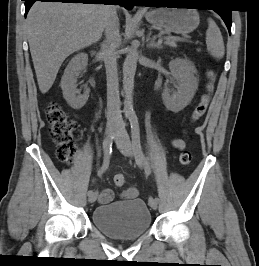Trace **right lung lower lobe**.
<instances>
[{
    "mask_svg": "<svg viewBox=\"0 0 259 266\" xmlns=\"http://www.w3.org/2000/svg\"><path fill=\"white\" fill-rule=\"evenodd\" d=\"M25 1V16L27 15L30 7L35 1L42 2H62V3H84V4H118L125 6L127 9L133 7V2L131 0H22Z\"/></svg>",
    "mask_w": 259,
    "mask_h": 266,
    "instance_id": "98d812e1",
    "label": "right lung lower lobe"
}]
</instances>
